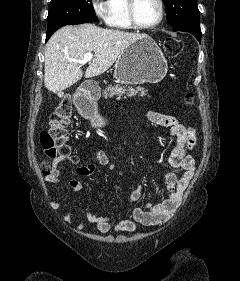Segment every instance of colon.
Here are the masks:
<instances>
[{
	"label": "colon",
	"instance_id": "1",
	"mask_svg": "<svg viewBox=\"0 0 240 281\" xmlns=\"http://www.w3.org/2000/svg\"><path fill=\"white\" fill-rule=\"evenodd\" d=\"M183 46L180 40L168 38L164 43V50L167 57L173 59L180 55ZM189 106L194 105V96L188 93L185 97ZM72 103L69 99H63L50 117L49 130L40 134V143L44 154L50 158L63 157L72 163H77L78 158L74 155L73 149L68 142L67 126L72 116ZM52 165L49 162L42 163L44 174L50 173Z\"/></svg>",
	"mask_w": 240,
	"mask_h": 281
}]
</instances>
